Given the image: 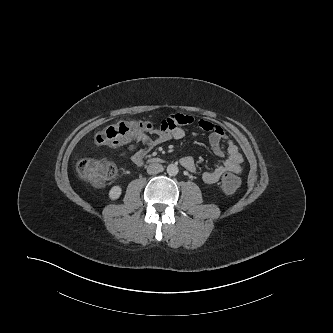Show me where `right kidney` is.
<instances>
[{"instance_id": "right-kidney-1", "label": "right kidney", "mask_w": 333, "mask_h": 333, "mask_svg": "<svg viewBox=\"0 0 333 333\" xmlns=\"http://www.w3.org/2000/svg\"><path fill=\"white\" fill-rule=\"evenodd\" d=\"M121 193H122V189L120 186H118V185L113 186L109 191V198L111 200H116L120 197Z\"/></svg>"}]
</instances>
